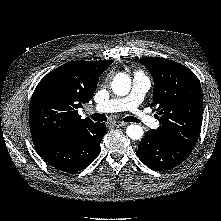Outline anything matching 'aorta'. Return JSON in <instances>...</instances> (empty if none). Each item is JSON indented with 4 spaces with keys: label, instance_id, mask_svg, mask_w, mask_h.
Returning <instances> with one entry per match:
<instances>
[{
    "label": "aorta",
    "instance_id": "1",
    "mask_svg": "<svg viewBox=\"0 0 221 221\" xmlns=\"http://www.w3.org/2000/svg\"><path fill=\"white\" fill-rule=\"evenodd\" d=\"M131 89V79L127 74L118 73L112 81V90L118 96H125ZM127 136L132 140H139L143 136V129L137 124H131L126 129Z\"/></svg>",
    "mask_w": 221,
    "mask_h": 221
}]
</instances>
